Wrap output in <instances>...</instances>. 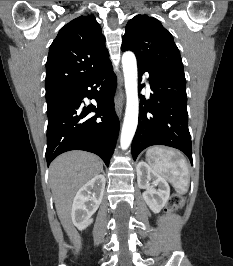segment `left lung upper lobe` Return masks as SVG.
<instances>
[{
  "mask_svg": "<svg viewBox=\"0 0 233 266\" xmlns=\"http://www.w3.org/2000/svg\"><path fill=\"white\" fill-rule=\"evenodd\" d=\"M121 50L133 51L137 64L147 69L183 72L180 52L172 35L153 17L139 14L129 20Z\"/></svg>",
  "mask_w": 233,
  "mask_h": 266,
  "instance_id": "1",
  "label": "left lung upper lobe"
}]
</instances>
